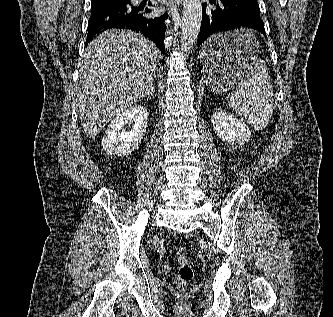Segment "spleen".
<instances>
[{"mask_svg": "<svg viewBox=\"0 0 333 317\" xmlns=\"http://www.w3.org/2000/svg\"><path fill=\"white\" fill-rule=\"evenodd\" d=\"M230 44L247 49L257 47V40L249 29H240L228 33ZM273 87L267 67L260 61L254 69L236 87L229 98V106L240 116L246 118L256 130L265 128L273 113Z\"/></svg>", "mask_w": 333, "mask_h": 317, "instance_id": "spleen-1", "label": "spleen"}]
</instances>
